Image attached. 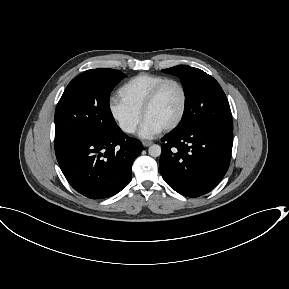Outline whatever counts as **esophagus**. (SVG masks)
Segmentation results:
<instances>
[{
  "mask_svg": "<svg viewBox=\"0 0 289 289\" xmlns=\"http://www.w3.org/2000/svg\"><path fill=\"white\" fill-rule=\"evenodd\" d=\"M142 144L144 147H148L152 144V142L151 141H143Z\"/></svg>",
  "mask_w": 289,
  "mask_h": 289,
  "instance_id": "1",
  "label": "esophagus"
}]
</instances>
